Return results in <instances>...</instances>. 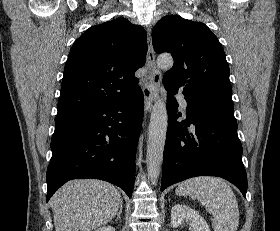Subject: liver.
Returning <instances> with one entry per match:
<instances>
[{"label": "liver", "instance_id": "1", "mask_svg": "<svg viewBox=\"0 0 280 231\" xmlns=\"http://www.w3.org/2000/svg\"><path fill=\"white\" fill-rule=\"evenodd\" d=\"M56 231H91L106 225L118 211L122 197L101 179H72L50 199Z\"/></svg>", "mask_w": 280, "mask_h": 231}]
</instances>
